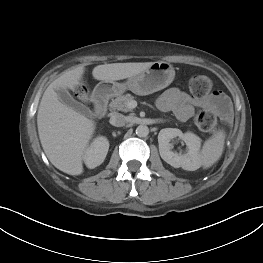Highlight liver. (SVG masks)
Here are the masks:
<instances>
[{"label":"liver","mask_w":263,"mask_h":263,"mask_svg":"<svg viewBox=\"0 0 263 263\" xmlns=\"http://www.w3.org/2000/svg\"><path fill=\"white\" fill-rule=\"evenodd\" d=\"M153 62L112 63L94 67V79L117 81L147 69ZM84 66L67 71L45 90L37 114L38 134L49 161L69 175L83 173V156L95 132V122L63 104L56 93L60 88L75 89L82 84ZM83 100H88L86 95Z\"/></svg>","instance_id":"liver-1"}]
</instances>
